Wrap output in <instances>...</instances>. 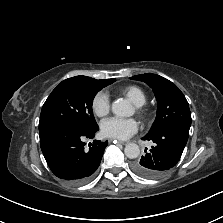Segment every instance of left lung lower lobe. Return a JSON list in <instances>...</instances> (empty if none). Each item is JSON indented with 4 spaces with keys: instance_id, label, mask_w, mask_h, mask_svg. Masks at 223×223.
I'll return each mask as SVG.
<instances>
[{
    "instance_id": "1",
    "label": "left lung lower lobe",
    "mask_w": 223,
    "mask_h": 223,
    "mask_svg": "<svg viewBox=\"0 0 223 223\" xmlns=\"http://www.w3.org/2000/svg\"><path fill=\"white\" fill-rule=\"evenodd\" d=\"M189 132L170 127L153 135H146L143 140L154 145L145 155L133 163L134 172L147 179H156L166 174L179 161L188 140Z\"/></svg>"
}]
</instances>
